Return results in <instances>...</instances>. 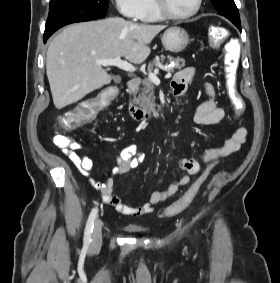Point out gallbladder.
<instances>
[{
	"label": "gallbladder",
	"mask_w": 280,
	"mask_h": 283,
	"mask_svg": "<svg viewBox=\"0 0 280 283\" xmlns=\"http://www.w3.org/2000/svg\"><path fill=\"white\" fill-rule=\"evenodd\" d=\"M115 81H116V82H119V81H120V79H119V78H116V79H115Z\"/></svg>",
	"instance_id": "1"
}]
</instances>
